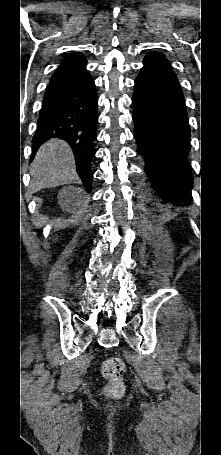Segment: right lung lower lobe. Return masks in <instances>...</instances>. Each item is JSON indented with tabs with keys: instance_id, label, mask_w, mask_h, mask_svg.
<instances>
[{
	"instance_id": "obj_1",
	"label": "right lung lower lobe",
	"mask_w": 221,
	"mask_h": 455,
	"mask_svg": "<svg viewBox=\"0 0 221 455\" xmlns=\"http://www.w3.org/2000/svg\"><path fill=\"white\" fill-rule=\"evenodd\" d=\"M83 54H71L61 62L45 92L33 143L37 149L50 138L65 140L72 148L76 170L86 190L91 191V160L97 136L98 97Z\"/></svg>"
}]
</instances>
